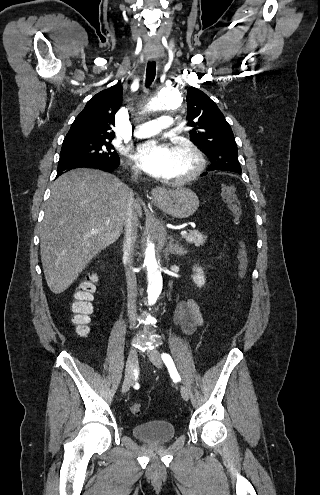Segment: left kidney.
I'll list each match as a JSON object with an SVG mask.
<instances>
[{
    "label": "left kidney",
    "instance_id": "obj_1",
    "mask_svg": "<svg viewBox=\"0 0 320 495\" xmlns=\"http://www.w3.org/2000/svg\"><path fill=\"white\" fill-rule=\"evenodd\" d=\"M194 274L192 275V279L194 283L198 287H202L205 284L204 272L201 267L194 266L193 268Z\"/></svg>",
    "mask_w": 320,
    "mask_h": 495
}]
</instances>
